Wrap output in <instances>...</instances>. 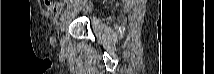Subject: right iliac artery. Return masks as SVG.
Listing matches in <instances>:
<instances>
[{
	"instance_id": "1",
	"label": "right iliac artery",
	"mask_w": 214,
	"mask_h": 74,
	"mask_svg": "<svg viewBox=\"0 0 214 74\" xmlns=\"http://www.w3.org/2000/svg\"><path fill=\"white\" fill-rule=\"evenodd\" d=\"M67 13H69V9H68V8H67V10H65V11H64V13H62V15H61V18H60V19H63V18H64V16H65Z\"/></svg>"
}]
</instances>
